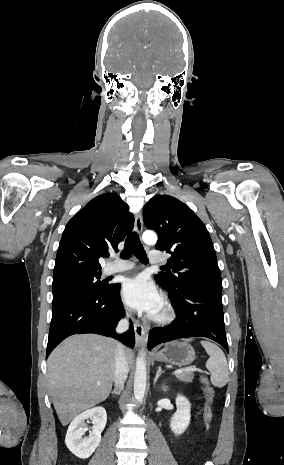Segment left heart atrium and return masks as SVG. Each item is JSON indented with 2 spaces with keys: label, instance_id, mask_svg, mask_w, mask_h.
Instances as JSON below:
<instances>
[{
  "label": "left heart atrium",
  "instance_id": "obj_1",
  "mask_svg": "<svg viewBox=\"0 0 284 465\" xmlns=\"http://www.w3.org/2000/svg\"><path fill=\"white\" fill-rule=\"evenodd\" d=\"M121 295L128 308L148 314L156 313L162 303L161 294L150 279L144 275L127 280L123 285Z\"/></svg>",
  "mask_w": 284,
  "mask_h": 465
}]
</instances>
